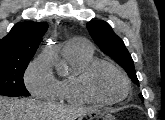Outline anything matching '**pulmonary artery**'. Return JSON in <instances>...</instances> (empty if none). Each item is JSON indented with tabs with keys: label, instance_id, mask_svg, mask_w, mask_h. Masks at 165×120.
Wrapping results in <instances>:
<instances>
[{
	"label": "pulmonary artery",
	"instance_id": "1",
	"mask_svg": "<svg viewBox=\"0 0 165 120\" xmlns=\"http://www.w3.org/2000/svg\"><path fill=\"white\" fill-rule=\"evenodd\" d=\"M64 51H91L89 43L82 38H72L66 42L64 46Z\"/></svg>",
	"mask_w": 165,
	"mask_h": 120
}]
</instances>
